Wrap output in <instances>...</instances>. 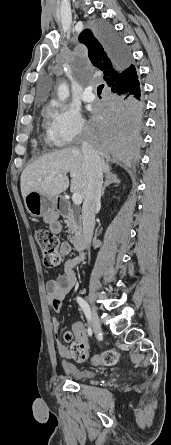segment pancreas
Instances as JSON below:
<instances>
[{
    "label": "pancreas",
    "instance_id": "pancreas-1",
    "mask_svg": "<svg viewBox=\"0 0 171 445\" xmlns=\"http://www.w3.org/2000/svg\"><path fill=\"white\" fill-rule=\"evenodd\" d=\"M66 224L68 226V240L75 242L81 236V220L79 216L74 212L73 208L68 209V213L64 215Z\"/></svg>",
    "mask_w": 171,
    "mask_h": 445
}]
</instances>
